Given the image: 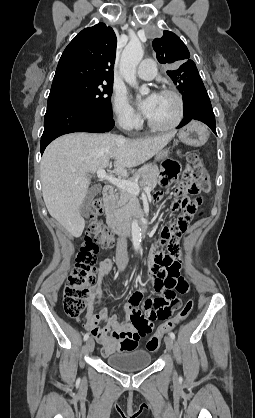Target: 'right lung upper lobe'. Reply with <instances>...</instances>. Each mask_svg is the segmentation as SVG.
<instances>
[{
    "instance_id": "right-lung-upper-lobe-1",
    "label": "right lung upper lobe",
    "mask_w": 255,
    "mask_h": 418,
    "mask_svg": "<svg viewBox=\"0 0 255 418\" xmlns=\"http://www.w3.org/2000/svg\"><path fill=\"white\" fill-rule=\"evenodd\" d=\"M117 39L99 23L82 30L65 48L52 85L69 81L113 82Z\"/></svg>"
}]
</instances>
